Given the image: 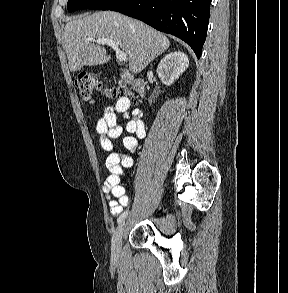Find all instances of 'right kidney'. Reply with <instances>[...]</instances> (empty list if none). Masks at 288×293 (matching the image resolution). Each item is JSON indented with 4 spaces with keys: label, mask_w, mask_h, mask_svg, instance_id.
Instances as JSON below:
<instances>
[{
    "label": "right kidney",
    "mask_w": 288,
    "mask_h": 293,
    "mask_svg": "<svg viewBox=\"0 0 288 293\" xmlns=\"http://www.w3.org/2000/svg\"><path fill=\"white\" fill-rule=\"evenodd\" d=\"M189 60L180 51L167 54L159 63L157 74L163 84L170 86L188 68Z\"/></svg>",
    "instance_id": "obj_1"
}]
</instances>
